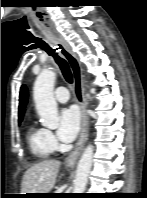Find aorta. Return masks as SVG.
Returning <instances> with one entry per match:
<instances>
[{
  "instance_id": "aorta-1",
  "label": "aorta",
  "mask_w": 147,
  "mask_h": 198,
  "mask_svg": "<svg viewBox=\"0 0 147 198\" xmlns=\"http://www.w3.org/2000/svg\"><path fill=\"white\" fill-rule=\"evenodd\" d=\"M56 74L54 71L44 69L36 78L33 88V97L40 122L44 127L57 128L59 125L57 103L53 89ZM94 148L89 144L77 165L73 193H84L88 176L92 166Z\"/></svg>"
}]
</instances>
